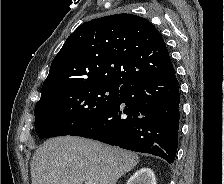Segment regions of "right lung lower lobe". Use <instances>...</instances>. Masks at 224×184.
Listing matches in <instances>:
<instances>
[{"label":"right lung lower lobe","instance_id":"98d812e1","mask_svg":"<svg viewBox=\"0 0 224 184\" xmlns=\"http://www.w3.org/2000/svg\"><path fill=\"white\" fill-rule=\"evenodd\" d=\"M180 93L175 70L122 86L118 99L94 120L69 135L175 160Z\"/></svg>","mask_w":224,"mask_h":184}]
</instances>
